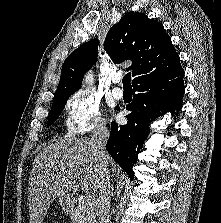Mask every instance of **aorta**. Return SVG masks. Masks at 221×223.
<instances>
[{
  "label": "aorta",
  "instance_id": "1",
  "mask_svg": "<svg viewBox=\"0 0 221 223\" xmlns=\"http://www.w3.org/2000/svg\"><path fill=\"white\" fill-rule=\"evenodd\" d=\"M94 81V75L92 72H89L86 74L85 78H84V82L86 84H92Z\"/></svg>",
  "mask_w": 221,
  "mask_h": 223
}]
</instances>
